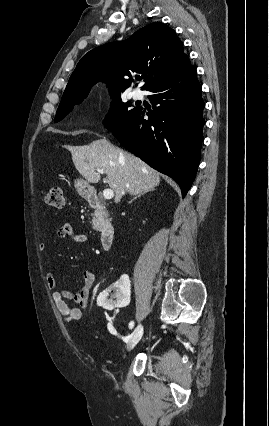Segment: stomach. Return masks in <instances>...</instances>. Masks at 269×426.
<instances>
[{"label":"stomach","instance_id":"0dacf381","mask_svg":"<svg viewBox=\"0 0 269 426\" xmlns=\"http://www.w3.org/2000/svg\"><path fill=\"white\" fill-rule=\"evenodd\" d=\"M75 188L78 194L84 198H88L92 193L94 188L85 180L77 179L75 181Z\"/></svg>","mask_w":269,"mask_h":426}]
</instances>
